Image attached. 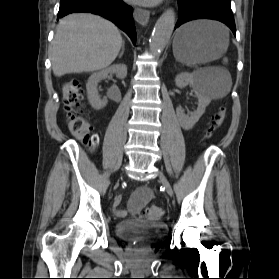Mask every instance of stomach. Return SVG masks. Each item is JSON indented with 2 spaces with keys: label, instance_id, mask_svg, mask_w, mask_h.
I'll use <instances>...</instances> for the list:
<instances>
[{
  "label": "stomach",
  "instance_id": "obj_1",
  "mask_svg": "<svg viewBox=\"0 0 279 279\" xmlns=\"http://www.w3.org/2000/svg\"><path fill=\"white\" fill-rule=\"evenodd\" d=\"M229 44L226 28L213 21H193L176 32L173 54L178 62L195 65L221 57Z\"/></svg>",
  "mask_w": 279,
  "mask_h": 279
}]
</instances>
